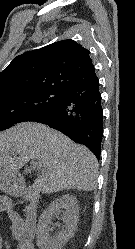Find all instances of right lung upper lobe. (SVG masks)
<instances>
[{
	"label": "right lung upper lobe",
	"instance_id": "1",
	"mask_svg": "<svg viewBox=\"0 0 135 249\" xmlns=\"http://www.w3.org/2000/svg\"><path fill=\"white\" fill-rule=\"evenodd\" d=\"M89 50L62 40L17 56L0 73V97L34 91L64 92L96 78Z\"/></svg>",
	"mask_w": 135,
	"mask_h": 249
}]
</instances>
